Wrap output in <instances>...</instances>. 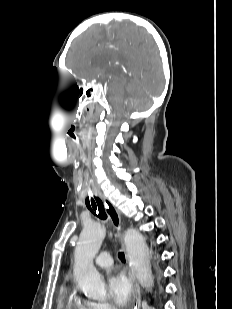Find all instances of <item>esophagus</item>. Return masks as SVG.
<instances>
[{
	"instance_id": "34e87169",
	"label": "esophagus",
	"mask_w": 232,
	"mask_h": 309,
	"mask_svg": "<svg viewBox=\"0 0 232 309\" xmlns=\"http://www.w3.org/2000/svg\"><path fill=\"white\" fill-rule=\"evenodd\" d=\"M100 198L104 202L106 212H107V214H108V216L111 220L112 225L114 226L115 230L117 232H119L120 229H121V218H120V214H119L118 210L111 203V201L108 200L105 196L100 195ZM121 243H122V247L124 248V244H123L122 241H121ZM129 275H130V279L133 281L135 295H136V302H135V305H134V309H140L141 302H142L141 290H140L138 283L135 281L134 277L131 274H129Z\"/></svg>"
}]
</instances>
